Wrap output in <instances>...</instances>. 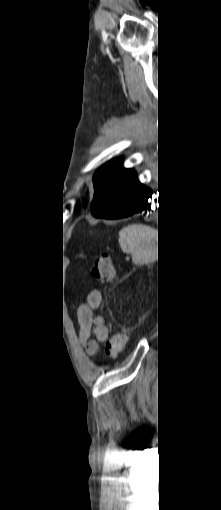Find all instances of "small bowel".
Segmentation results:
<instances>
[{"label": "small bowel", "mask_w": 221, "mask_h": 510, "mask_svg": "<svg viewBox=\"0 0 221 510\" xmlns=\"http://www.w3.org/2000/svg\"><path fill=\"white\" fill-rule=\"evenodd\" d=\"M102 302V294L92 288L87 296V304L78 309V334L81 343L86 348L88 354L93 356L97 352L98 342H106L109 336V330L100 315H94V310L98 309ZM94 333L95 340H90L91 333Z\"/></svg>", "instance_id": "1"}]
</instances>
